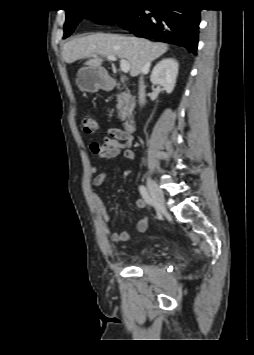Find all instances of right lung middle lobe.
Listing matches in <instances>:
<instances>
[{
	"mask_svg": "<svg viewBox=\"0 0 254 355\" xmlns=\"http://www.w3.org/2000/svg\"><path fill=\"white\" fill-rule=\"evenodd\" d=\"M141 0H126L124 5L116 8L66 10L64 39L72 34L76 25L85 17L99 24L112 25L129 13L131 8Z\"/></svg>",
	"mask_w": 254,
	"mask_h": 355,
	"instance_id": "obj_1",
	"label": "right lung middle lobe"
}]
</instances>
